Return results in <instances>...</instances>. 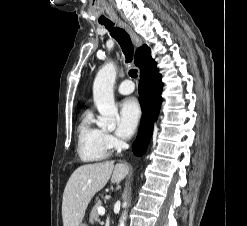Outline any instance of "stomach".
I'll return each mask as SVG.
<instances>
[{
  "label": "stomach",
  "instance_id": "1",
  "mask_svg": "<svg viewBox=\"0 0 247 226\" xmlns=\"http://www.w3.org/2000/svg\"><path fill=\"white\" fill-rule=\"evenodd\" d=\"M79 226H86V224H84V223H81Z\"/></svg>",
  "mask_w": 247,
  "mask_h": 226
}]
</instances>
